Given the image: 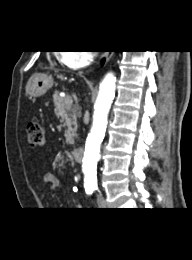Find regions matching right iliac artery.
<instances>
[{
	"label": "right iliac artery",
	"mask_w": 192,
	"mask_h": 260,
	"mask_svg": "<svg viewBox=\"0 0 192 260\" xmlns=\"http://www.w3.org/2000/svg\"><path fill=\"white\" fill-rule=\"evenodd\" d=\"M93 191H94V188H93V187H86V193H87L88 195H91Z\"/></svg>",
	"instance_id": "1"
}]
</instances>
